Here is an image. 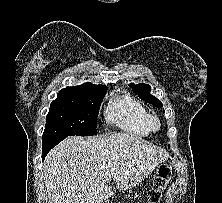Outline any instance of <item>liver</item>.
<instances>
[{
	"label": "liver",
	"mask_w": 222,
	"mask_h": 203,
	"mask_svg": "<svg viewBox=\"0 0 222 203\" xmlns=\"http://www.w3.org/2000/svg\"><path fill=\"white\" fill-rule=\"evenodd\" d=\"M166 158L162 149L127 133L68 137L46 156V203H100L112 196V179L119 190H128Z\"/></svg>",
	"instance_id": "liver-1"
}]
</instances>
